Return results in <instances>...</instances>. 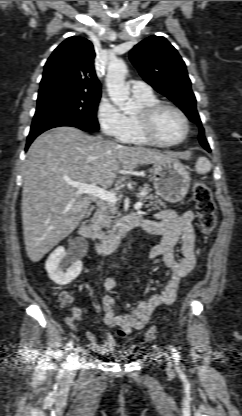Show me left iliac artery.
<instances>
[{
  "instance_id": "obj_1",
  "label": "left iliac artery",
  "mask_w": 242,
  "mask_h": 416,
  "mask_svg": "<svg viewBox=\"0 0 242 416\" xmlns=\"http://www.w3.org/2000/svg\"><path fill=\"white\" fill-rule=\"evenodd\" d=\"M172 354H173V357H174L175 361H176V362H179V360H180V356H179V353H178V351L176 350V348H172Z\"/></svg>"
}]
</instances>
